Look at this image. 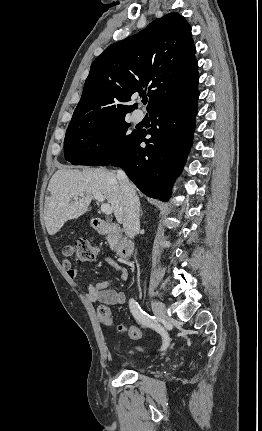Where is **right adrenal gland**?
<instances>
[{
  "mask_svg": "<svg viewBox=\"0 0 262 431\" xmlns=\"http://www.w3.org/2000/svg\"><path fill=\"white\" fill-rule=\"evenodd\" d=\"M143 215V211L141 210V216Z\"/></svg>",
  "mask_w": 262,
  "mask_h": 431,
  "instance_id": "1",
  "label": "right adrenal gland"
}]
</instances>
